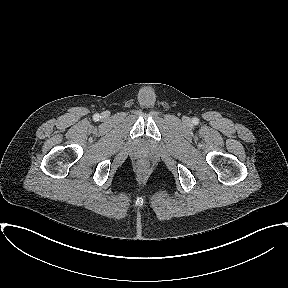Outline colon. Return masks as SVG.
Returning <instances> with one entry per match:
<instances>
[{"label":"colon","instance_id":"obj_1","mask_svg":"<svg viewBox=\"0 0 288 288\" xmlns=\"http://www.w3.org/2000/svg\"><path fill=\"white\" fill-rule=\"evenodd\" d=\"M139 165H140L141 167H144L146 164H145L144 162H141Z\"/></svg>","mask_w":288,"mask_h":288}]
</instances>
